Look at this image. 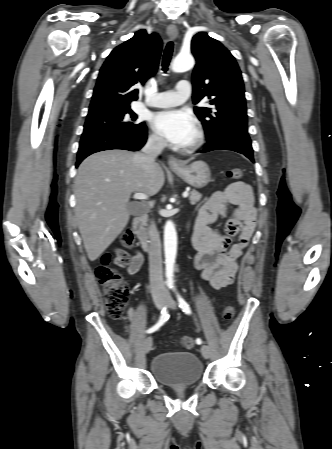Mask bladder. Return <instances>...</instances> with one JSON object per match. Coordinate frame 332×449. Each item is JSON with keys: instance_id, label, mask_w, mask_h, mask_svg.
<instances>
[{"instance_id": "1", "label": "bladder", "mask_w": 332, "mask_h": 449, "mask_svg": "<svg viewBox=\"0 0 332 449\" xmlns=\"http://www.w3.org/2000/svg\"><path fill=\"white\" fill-rule=\"evenodd\" d=\"M151 373L162 386H193L204 373L202 362L191 352H164L152 360Z\"/></svg>"}]
</instances>
